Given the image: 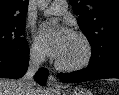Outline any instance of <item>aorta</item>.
Instances as JSON below:
<instances>
[{
  "label": "aorta",
  "instance_id": "762f6f07",
  "mask_svg": "<svg viewBox=\"0 0 119 95\" xmlns=\"http://www.w3.org/2000/svg\"><path fill=\"white\" fill-rule=\"evenodd\" d=\"M51 0H38V6L41 9H44L45 7H47L49 5Z\"/></svg>",
  "mask_w": 119,
  "mask_h": 95
}]
</instances>
